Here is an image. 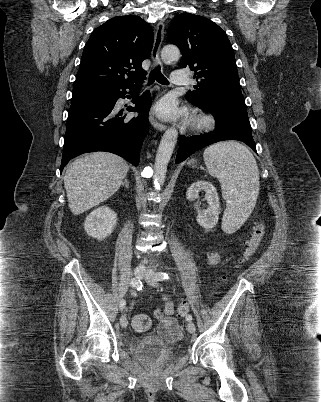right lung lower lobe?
<instances>
[{"instance_id": "right-lung-lower-lobe-1", "label": "right lung lower lobe", "mask_w": 321, "mask_h": 402, "mask_svg": "<svg viewBox=\"0 0 321 402\" xmlns=\"http://www.w3.org/2000/svg\"><path fill=\"white\" fill-rule=\"evenodd\" d=\"M141 83L104 86L100 94L72 97L60 172L72 158L94 151L111 152L138 165L142 142L149 131L150 93L135 97L136 106L127 108L139 112L138 117H118L120 113L116 114L115 105L119 98H124L127 88L134 94Z\"/></svg>"}]
</instances>
